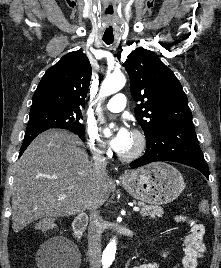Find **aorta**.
<instances>
[{"label": "aorta", "mask_w": 221, "mask_h": 268, "mask_svg": "<svg viewBox=\"0 0 221 268\" xmlns=\"http://www.w3.org/2000/svg\"><path fill=\"white\" fill-rule=\"evenodd\" d=\"M126 83V78L123 74H114L106 77L101 85L99 98H104L106 96H109L111 94H114L121 90ZM100 110V108H99ZM98 110V111H99ZM105 135L110 134L109 129L104 130ZM116 253V241L113 239L106 247L104 251V259L105 262L110 264L114 260Z\"/></svg>", "instance_id": "762f6f07"}]
</instances>
